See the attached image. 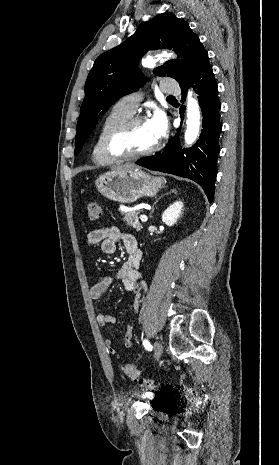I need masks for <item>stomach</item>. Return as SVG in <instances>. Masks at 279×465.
<instances>
[{
    "label": "stomach",
    "instance_id": "1",
    "mask_svg": "<svg viewBox=\"0 0 279 465\" xmlns=\"http://www.w3.org/2000/svg\"><path fill=\"white\" fill-rule=\"evenodd\" d=\"M165 183L164 178L151 176L138 168L117 169L95 180L98 191L104 197L121 203H133L144 196H155Z\"/></svg>",
    "mask_w": 279,
    "mask_h": 465
}]
</instances>
